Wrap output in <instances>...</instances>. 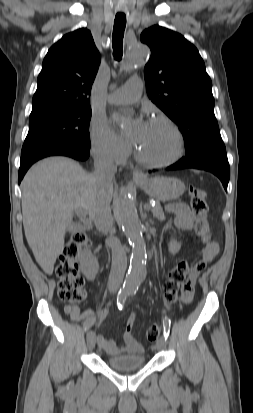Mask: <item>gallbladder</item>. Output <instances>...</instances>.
<instances>
[{"instance_id": "obj_1", "label": "gallbladder", "mask_w": 253, "mask_h": 413, "mask_svg": "<svg viewBox=\"0 0 253 413\" xmlns=\"http://www.w3.org/2000/svg\"><path fill=\"white\" fill-rule=\"evenodd\" d=\"M79 229V225L77 223H73L68 227L69 232H75Z\"/></svg>"}]
</instances>
